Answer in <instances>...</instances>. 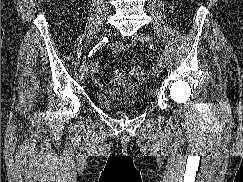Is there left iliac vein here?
Wrapping results in <instances>:
<instances>
[{"label":"left iliac vein","instance_id":"4c4485c4","mask_svg":"<svg viewBox=\"0 0 243 182\" xmlns=\"http://www.w3.org/2000/svg\"><path fill=\"white\" fill-rule=\"evenodd\" d=\"M134 39L141 41V42H148L149 37L141 32H137L134 36ZM164 68V59L161 54L158 55L157 57V63H156V74L159 75L161 71Z\"/></svg>","mask_w":243,"mask_h":182}]
</instances>
